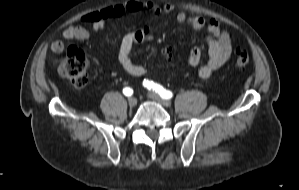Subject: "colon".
Listing matches in <instances>:
<instances>
[{"mask_svg": "<svg viewBox=\"0 0 299 190\" xmlns=\"http://www.w3.org/2000/svg\"><path fill=\"white\" fill-rule=\"evenodd\" d=\"M171 52L166 50L162 57L168 59ZM250 61L249 52L244 48H238L235 54V65L238 68H245ZM59 73L67 78L76 88H84L88 84V74L86 70V56L77 46H70L67 54L59 64Z\"/></svg>", "mask_w": 299, "mask_h": 190, "instance_id": "1", "label": "colon"}]
</instances>
